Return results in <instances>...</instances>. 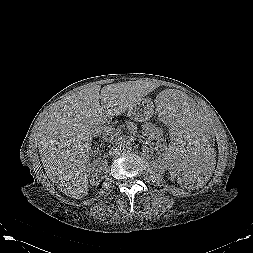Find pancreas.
Returning a JSON list of instances; mask_svg holds the SVG:
<instances>
[{
  "label": "pancreas",
  "instance_id": "1",
  "mask_svg": "<svg viewBox=\"0 0 253 253\" xmlns=\"http://www.w3.org/2000/svg\"><path fill=\"white\" fill-rule=\"evenodd\" d=\"M104 133V140H114L119 135V130H115L113 127H103L100 129Z\"/></svg>",
  "mask_w": 253,
  "mask_h": 253
}]
</instances>
